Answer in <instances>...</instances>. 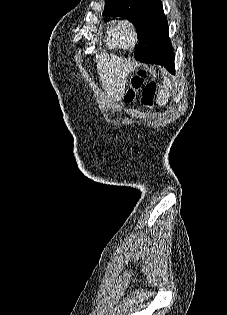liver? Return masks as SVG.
I'll return each mask as SVG.
<instances>
[{"label": "liver", "instance_id": "6515ba94", "mask_svg": "<svg viewBox=\"0 0 227 315\" xmlns=\"http://www.w3.org/2000/svg\"><path fill=\"white\" fill-rule=\"evenodd\" d=\"M97 71L108 97L120 101L125 94V85L133 64L117 56L97 55Z\"/></svg>", "mask_w": 227, "mask_h": 315}]
</instances>
